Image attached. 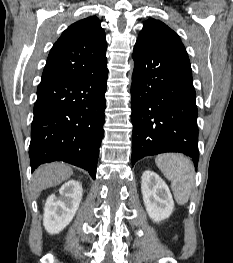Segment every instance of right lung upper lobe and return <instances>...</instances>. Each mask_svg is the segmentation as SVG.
<instances>
[{"mask_svg":"<svg viewBox=\"0 0 233 263\" xmlns=\"http://www.w3.org/2000/svg\"><path fill=\"white\" fill-rule=\"evenodd\" d=\"M106 38L100 21L91 16L70 25L53 45L41 82L83 77L106 60Z\"/></svg>","mask_w":233,"mask_h":263,"instance_id":"cb5924a9","label":"right lung upper lobe"}]
</instances>
